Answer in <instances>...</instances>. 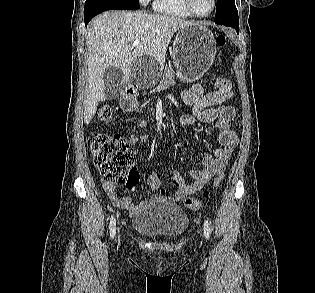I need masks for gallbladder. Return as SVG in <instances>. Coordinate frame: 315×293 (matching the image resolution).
I'll use <instances>...</instances> for the list:
<instances>
[{"mask_svg": "<svg viewBox=\"0 0 315 293\" xmlns=\"http://www.w3.org/2000/svg\"><path fill=\"white\" fill-rule=\"evenodd\" d=\"M123 77V71L115 66H110L104 71V95L106 100H113L119 96Z\"/></svg>", "mask_w": 315, "mask_h": 293, "instance_id": "gallbladder-1", "label": "gallbladder"}]
</instances>
